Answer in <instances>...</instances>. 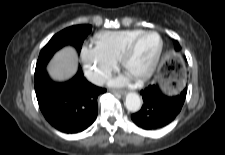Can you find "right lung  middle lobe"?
<instances>
[{
  "mask_svg": "<svg viewBox=\"0 0 225 155\" xmlns=\"http://www.w3.org/2000/svg\"><path fill=\"white\" fill-rule=\"evenodd\" d=\"M90 25L71 26L55 34L39 54L35 72H40L52 58L54 53L65 45H73L80 52L86 36L91 32Z\"/></svg>",
  "mask_w": 225,
  "mask_h": 155,
  "instance_id": "dd1d6c3e",
  "label": "right lung middle lobe"
}]
</instances>
